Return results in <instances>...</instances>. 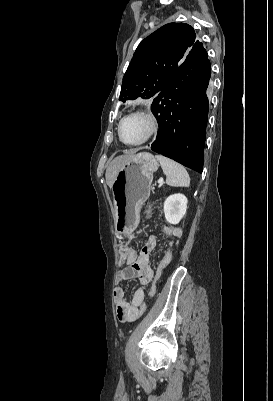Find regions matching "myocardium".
Here are the masks:
<instances>
[{"instance_id":"f54148a6","label":"myocardium","mask_w":273,"mask_h":401,"mask_svg":"<svg viewBox=\"0 0 273 401\" xmlns=\"http://www.w3.org/2000/svg\"><path fill=\"white\" fill-rule=\"evenodd\" d=\"M130 116L143 117L149 122V125H150L148 133L141 140H139L137 142H133V143H128V142L123 141L121 138V134H120L121 124L127 117H130ZM160 128H161L160 120L156 116V114H154L152 111L147 110V109H137V110L131 111L128 114L124 115L119 120V122L117 123V126H116V134H117L118 140L123 145L128 146V147H136V146L145 144L146 142L151 140L153 137H155L159 133Z\"/></svg>"}]
</instances>
